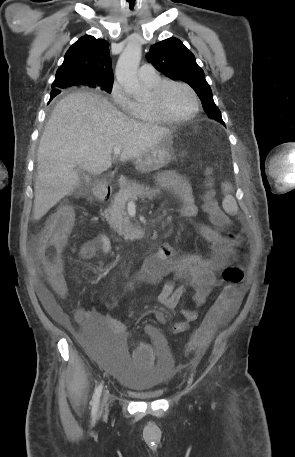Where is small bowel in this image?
<instances>
[{
    "label": "small bowel",
    "mask_w": 295,
    "mask_h": 457,
    "mask_svg": "<svg viewBox=\"0 0 295 457\" xmlns=\"http://www.w3.org/2000/svg\"><path fill=\"white\" fill-rule=\"evenodd\" d=\"M159 185L179 198L181 216L188 218L196 216L197 206L190 183L184 176L172 172L166 173L160 178ZM199 231L202 237L210 243L208 256L181 254L170 243L166 242L161 245L157 253L145 260L138 277L126 286V291L129 292L142 283L158 285L163 278L170 276L171 279L163 284L158 296L159 301L165 307L174 309L188 288L193 290L192 300L194 304L197 307L203 306L217 285L216 273L225 269L235 257L236 247L241 240L237 236L226 237L218 229L208 225H200ZM98 250L104 254L111 253V242L106 234H100L95 239L85 242L81 247L80 256L83 259H91ZM38 294L44 307L52 316L58 320L66 321L64 313L44 286H39ZM239 302L240 299L238 304ZM153 315L159 322L166 321V316L161 311H154ZM182 315L184 321L177 322L172 326L174 333L187 331L190 324L196 321L199 316L195 309H183ZM76 320L90 338H97L96 334L100 332L122 335L126 331V326L120 321L94 310H79L76 314ZM145 330L156 345H165L157 327L147 325ZM202 353L203 349L197 350L196 356L199 358Z\"/></svg>",
    "instance_id": "obj_1"
}]
</instances>
